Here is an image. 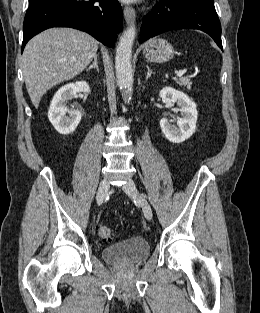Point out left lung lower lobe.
I'll list each match as a JSON object with an SVG mask.
<instances>
[{
    "label": "left lung lower lobe",
    "mask_w": 260,
    "mask_h": 313,
    "mask_svg": "<svg viewBox=\"0 0 260 313\" xmlns=\"http://www.w3.org/2000/svg\"><path fill=\"white\" fill-rule=\"evenodd\" d=\"M175 29L202 30L209 34L222 49L221 24L213 2L160 0L144 17L140 30V42Z\"/></svg>",
    "instance_id": "1"
}]
</instances>
